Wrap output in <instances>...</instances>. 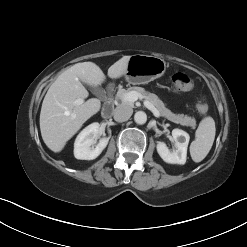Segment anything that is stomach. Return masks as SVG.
I'll use <instances>...</instances> for the list:
<instances>
[{"label":"stomach","instance_id":"0dacf381","mask_svg":"<svg viewBox=\"0 0 247 247\" xmlns=\"http://www.w3.org/2000/svg\"><path fill=\"white\" fill-rule=\"evenodd\" d=\"M166 67V62L161 57L136 54L130 56L124 75L130 84H147L163 76Z\"/></svg>","mask_w":247,"mask_h":247}]
</instances>
